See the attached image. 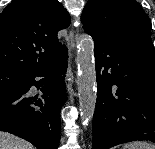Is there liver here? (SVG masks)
I'll return each instance as SVG.
<instances>
[{"label":"liver","instance_id":"liver-1","mask_svg":"<svg viewBox=\"0 0 155 149\" xmlns=\"http://www.w3.org/2000/svg\"><path fill=\"white\" fill-rule=\"evenodd\" d=\"M0 149H34V147L15 135L0 131Z\"/></svg>","mask_w":155,"mask_h":149}]
</instances>
